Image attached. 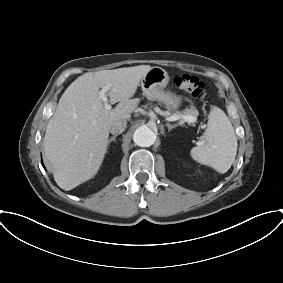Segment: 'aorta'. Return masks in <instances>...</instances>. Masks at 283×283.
Listing matches in <instances>:
<instances>
[{
  "label": "aorta",
  "instance_id": "obj_1",
  "mask_svg": "<svg viewBox=\"0 0 283 283\" xmlns=\"http://www.w3.org/2000/svg\"><path fill=\"white\" fill-rule=\"evenodd\" d=\"M133 141L140 147H149L155 143L156 135L148 126L143 125L134 132Z\"/></svg>",
  "mask_w": 283,
  "mask_h": 283
}]
</instances>
